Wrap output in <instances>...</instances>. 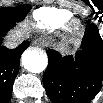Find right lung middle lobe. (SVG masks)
<instances>
[{
  "mask_svg": "<svg viewBox=\"0 0 103 103\" xmlns=\"http://www.w3.org/2000/svg\"><path fill=\"white\" fill-rule=\"evenodd\" d=\"M31 6L24 4L11 8H0V23L3 22H20L30 11Z\"/></svg>",
  "mask_w": 103,
  "mask_h": 103,
  "instance_id": "dd1d6c3e",
  "label": "right lung middle lobe"
}]
</instances>
